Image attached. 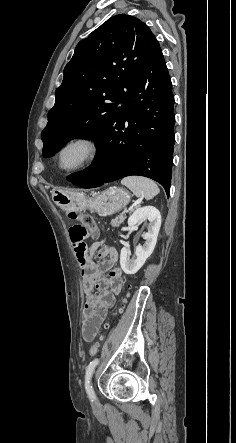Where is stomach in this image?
<instances>
[{"label": "stomach", "mask_w": 236, "mask_h": 443, "mask_svg": "<svg viewBox=\"0 0 236 443\" xmlns=\"http://www.w3.org/2000/svg\"><path fill=\"white\" fill-rule=\"evenodd\" d=\"M130 194L119 187H109L93 198L85 197L81 192L58 190L53 192V200L63 210H84L86 208L102 216L113 215L130 202Z\"/></svg>", "instance_id": "stomach-1"}]
</instances>
